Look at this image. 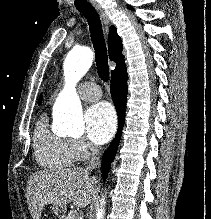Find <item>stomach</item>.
I'll list each match as a JSON object with an SVG mask.
<instances>
[{
	"mask_svg": "<svg viewBox=\"0 0 211 219\" xmlns=\"http://www.w3.org/2000/svg\"><path fill=\"white\" fill-rule=\"evenodd\" d=\"M52 211L60 218H62V216H64V213H65L64 207H60L56 205L52 207Z\"/></svg>",
	"mask_w": 211,
	"mask_h": 219,
	"instance_id": "obj_1",
	"label": "stomach"
}]
</instances>
